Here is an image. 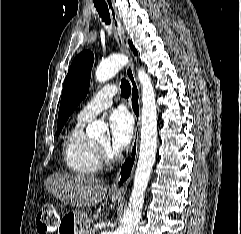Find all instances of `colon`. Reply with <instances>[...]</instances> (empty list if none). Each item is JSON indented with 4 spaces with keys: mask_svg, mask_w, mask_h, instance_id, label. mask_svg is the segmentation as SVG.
I'll list each match as a JSON object with an SVG mask.
<instances>
[{
    "mask_svg": "<svg viewBox=\"0 0 241 234\" xmlns=\"http://www.w3.org/2000/svg\"><path fill=\"white\" fill-rule=\"evenodd\" d=\"M59 226V218L51 204L44 205L36 218V228L39 234L54 232Z\"/></svg>",
    "mask_w": 241,
    "mask_h": 234,
    "instance_id": "5ec220e1",
    "label": "colon"
}]
</instances>
